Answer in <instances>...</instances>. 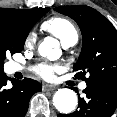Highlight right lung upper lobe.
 <instances>
[{
	"instance_id": "right-lung-upper-lobe-1",
	"label": "right lung upper lobe",
	"mask_w": 117,
	"mask_h": 117,
	"mask_svg": "<svg viewBox=\"0 0 117 117\" xmlns=\"http://www.w3.org/2000/svg\"><path fill=\"white\" fill-rule=\"evenodd\" d=\"M36 8L29 9V10H20V9H13V8H0V15H10L18 18H29L34 12Z\"/></svg>"
}]
</instances>
